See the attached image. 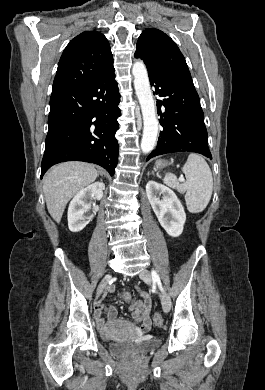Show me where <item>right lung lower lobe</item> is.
<instances>
[{
	"label": "right lung lower lobe",
	"instance_id": "right-lung-lower-lobe-1",
	"mask_svg": "<svg viewBox=\"0 0 265 390\" xmlns=\"http://www.w3.org/2000/svg\"><path fill=\"white\" fill-rule=\"evenodd\" d=\"M119 102L114 67L52 93L41 178L54 164L71 160L98 164L113 176L118 162Z\"/></svg>",
	"mask_w": 265,
	"mask_h": 390
}]
</instances>
